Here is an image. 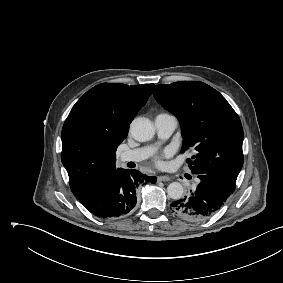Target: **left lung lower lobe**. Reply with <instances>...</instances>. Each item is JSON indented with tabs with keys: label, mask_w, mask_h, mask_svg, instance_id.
Listing matches in <instances>:
<instances>
[{
	"label": "left lung lower lobe",
	"mask_w": 283,
	"mask_h": 283,
	"mask_svg": "<svg viewBox=\"0 0 283 283\" xmlns=\"http://www.w3.org/2000/svg\"><path fill=\"white\" fill-rule=\"evenodd\" d=\"M199 183L182 199L171 203L172 212L187 221H203L212 217L234 192L236 184L213 174H198Z\"/></svg>",
	"instance_id": "obj_1"
}]
</instances>
